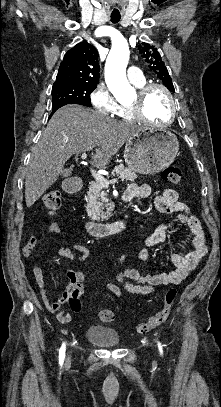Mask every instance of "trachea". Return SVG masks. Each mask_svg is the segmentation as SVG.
<instances>
[{"instance_id": "trachea-1", "label": "trachea", "mask_w": 221, "mask_h": 407, "mask_svg": "<svg viewBox=\"0 0 221 407\" xmlns=\"http://www.w3.org/2000/svg\"><path fill=\"white\" fill-rule=\"evenodd\" d=\"M111 22L118 23L120 21L121 15L120 14H111Z\"/></svg>"}]
</instances>
